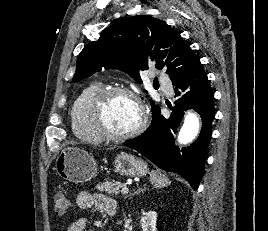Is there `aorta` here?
Returning a JSON list of instances; mask_svg holds the SVG:
<instances>
[{
	"label": "aorta",
	"instance_id": "762f6f07",
	"mask_svg": "<svg viewBox=\"0 0 268 231\" xmlns=\"http://www.w3.org/2000/svg\"><path fill=\"white\" fill-rule=\"evenodd\" d=\"M200 131V120L197 114L187 112L184 118V123L178 133L179 144H188L192 142Z\"/></svg>",
	"mask_w": 268,
	"mask_h": 231
}]
</instances>
